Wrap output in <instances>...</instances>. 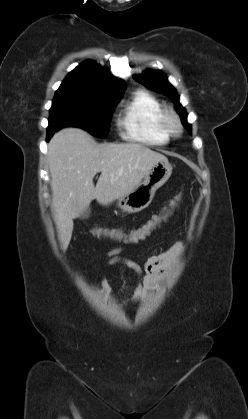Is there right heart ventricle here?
<instances>
[{
    "instance_id": "1",
    "label": "right heart ventricle",
    "mask_w": 248,
    "mask_h": 419,
    "mask_svg": "<svg viewBox=\"0 0 248 419\" xmlns=\"http://www.w3.org/2000/svg\"><path fill=\"white\" fill-rule=\"evenodd\" d=\"M163 105L151 93L137 91L122 108L119 125L126 139L148 145H164L169 135L161 124Z\"/></svg>"
}]
</instances>
